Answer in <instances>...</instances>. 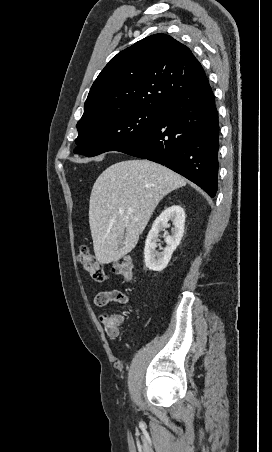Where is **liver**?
I'll list each match as a JSON object with an SVG mask.
<instances>
[{"instance_id":"6515ba94","label":"liver","mask_w":272,"mask_h":452,"mask_svg":"<svg viewBox=\"0 0 272 452\" xmlns=\"http://www.w3.org/2000/svg\"><path fill=\"white\" fill-rule=\"evenodd\" d=\"M185 184L182 176L149 160H125L103 171L89 203L96 260L109 264L131 252L159 202Z\"/></svg>"}]
</instances>
